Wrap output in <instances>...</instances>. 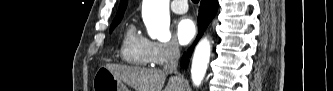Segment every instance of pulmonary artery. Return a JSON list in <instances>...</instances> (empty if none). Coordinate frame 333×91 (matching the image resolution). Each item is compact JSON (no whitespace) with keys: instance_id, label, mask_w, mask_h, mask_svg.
I'll list each match as a JSON object with an SVG mask.
<instances>
[{"instance_id":"pulmonary-artery-1","label":"pulmonary artery","mask_w":333,"mask_h":91,"mask_svg":"<svg viewBox=\"0 0 333 91\" xmlns=\"http://www.w3.org/2000/svg\"><path fill=\"white\" fill-rule=\"evenodd\" d=\"M171 9L176 14L186 13L188 10V5L186 0H174L171 4Z\"/></svg>"}]
</instances>
